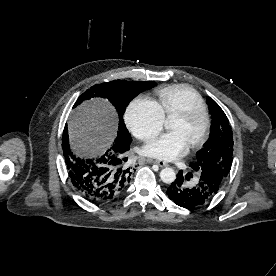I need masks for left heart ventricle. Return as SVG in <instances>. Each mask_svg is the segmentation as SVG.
<instances>
[{
    "instance_id": "1",
    "label": "left heart ventricle",
    "mask_w": 276,
    "mask_h": 276,
    "mask_svg": "<svg viewBox=\"0 0 276 276\" xmlns=\"http://www.w3.org/2000/svg\"><path fill=\"white\" fill-rule=\"evenodd\" d=\"M204 121L202 118L186 122L181 119L174 118L171 125V131L181 133L188 144L191 145L200 136L203 130Z\"/></svg>"
}]
</instances>
